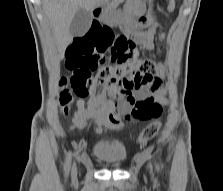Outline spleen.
Returning <instances> with one entry per match:
<instances>
[{
	"instance_id": "obj_1",
	"label": "spleen",
	"mask_w": 223,
	"mask_h": 191,
	"mask_svg": "<svg viewBox=\"0 0 223 191\" xmlns=\"http://www.w3.org/2000/svg\"><path fill=\"white\" fill-rule=\"evenodd\" d=\"M170 7H171V9L174 8V1H173V0H172L171 3H170Z\"/></svg>"
}]
</instances>
